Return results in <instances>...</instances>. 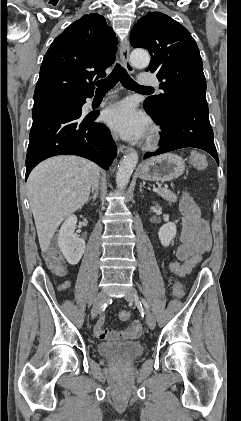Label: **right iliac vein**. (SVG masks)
I'll use <instances>...</instances> for the list:
<instances>
[{
  "instance_id": "1",
  "label": "right iliac vein",
  "mask_w": 241,
  "mask_h": 421,
  "mask_svg": "<svg viewBox=\"0 0 241 421\" xmlns=\"http://www.w3.org/2000/svg\"><path fill=\"white\" fill-rule=\"evenodd\" d=\"M105 301H106V294L105 292L102 291L97 295L95 299V302L91 311L93 318H95L98 315Z\"/></svg>"
}]
</instances>
